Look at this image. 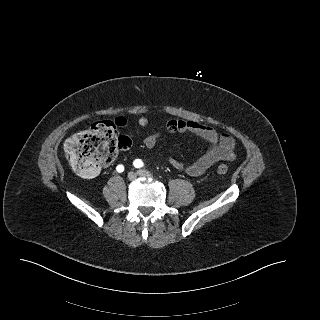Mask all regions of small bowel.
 Listing matches in <instances>:
<instances>
[{
  "label": "small bowel",
  "mask_w": 320,
  "mask_h": 320,
  "mask_svg": "<svg viewBox=\"0 0 320 320\" xmlns=\"http://www.w3.org/2000/svg\"><path fill=\"white\" fill-rule=\"evenodd\" d=\"M137 122L139 126L145 127L148 124V119L140 117ZM116 124L124 126L126 120L117 118ZM166 128L170 133L194 134L208 143L206 151L191 164L186 165L175 158H169L168 161L172 167L177 170H184L190 176L198 177L216 162L221 160L230 161L236 156L234 139L229 134L219 133L213 127L192 120L170 119L166 124ZM159 138L160 133L158 132L147 135L143 140L144 146L152 149Z\"/></svg>",
  "instance_id": "1"
}]
</instances>
